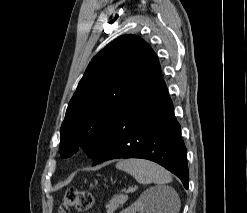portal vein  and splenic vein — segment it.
Listing matches in <instances>:
<instances>
[{
  "label": "portal vein and splenic vein",
  "instance_id": "portal-vein-and-splenic-vein-1",
  "mask_svg": "<svg viewBox=\"0 0 247 213\" xmlns=\"http://www.w3.org/2000/svg\"><path fill=\"white\" fill-rule=\"evenodd\" d=\"M133 191H134L133 188H128L127 190H125V193L127 194V193H130V192H133Z\"/></svg>",
  "mask_w": 247,
  "mask_h": 213
}]
</instances>
